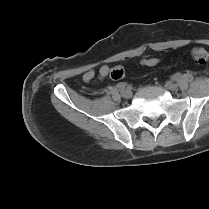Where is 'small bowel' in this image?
<instances>
[{"label":"small bowel","mask_w":209,"mask_h":209,"mask_svg":"<svg viewBox=\"0 0 209 209\" xmlns=\"http://www.w3.org/2000/svg\"><path fill=\"white\" fill-rule=\"evenodd\" d=\"M108 73L109 67L107 65H103L99 70V77L103 79L108 75ZM94 76L95 72L93 70H89L83 75V80L86 82L91 81L94 78Z\"/></svg>","instance_id":"small-bowel-1"}]
</instances>
